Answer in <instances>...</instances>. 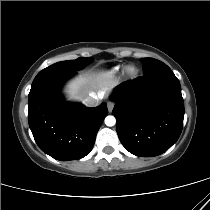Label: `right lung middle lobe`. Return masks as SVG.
Here are the masks:
<instances>
[{
  "mask_svg": "<svg viewBox=\"0 0 210 210\" xmlns=\"http://www.w3.org/2000/svg\"><path fill=\"white\" fill-rule=\"evenodd\" d=\"M92 58H84L80 57L76 60H70V61H61L58 63H55L43 70H51V69H56V70H69V71H76L83 66H85L87 63L91 62Z\"/></svg>",
  "mask_w": 210,
  "mask_h": 210,
  "instance_id": "1",
  "label": "right lung middle lobe"
}]
</instances>
